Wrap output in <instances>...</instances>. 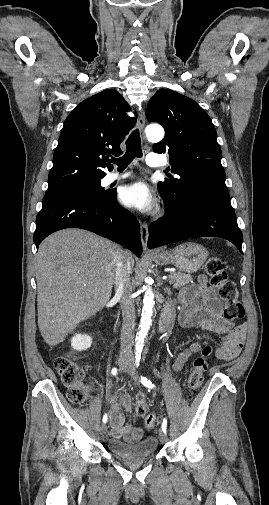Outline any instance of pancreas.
Segmentation results:
<instances>
[{
  "label": "pancreas",
  "instance_id": "pancreas-1",
  "mask_svg": "<svg viewBox=\"0 0 269 505\" xmlns=\"http://www.w3.org/2000/svg\"><path fill=\"white\" fill-rule=\"evenodd\" d=\"M169 282L173 284L174 288H181L192 280L191 275L183 274L180 272H172L169 274Z\"/></svg>",
  "mask_w": 269,
  "mask_h": 505
}]
</instances>
